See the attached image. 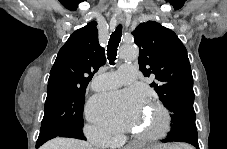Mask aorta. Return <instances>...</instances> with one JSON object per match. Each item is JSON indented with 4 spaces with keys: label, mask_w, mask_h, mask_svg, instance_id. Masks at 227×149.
<instances>
[{
    "label": "aorta",
    "mask_w": 227,
    "mask_h": 149,
    "mask_svg": "<svg viewBox=\"0 0 227 149\" xmlns=\"http://www.w3.org/2000/svg\"><path fill=\"white\" fill-rule=\"evenodd\" d=\"M138 57V50L133 46H124L120 52V58L125 61L135 60Z\"/></svg>",
    "instance_id": "762f6f07"
}]
</instances>
